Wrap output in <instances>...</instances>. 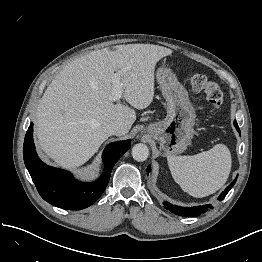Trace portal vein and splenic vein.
<instances>
[{"label":"portal vein and splenic vein","instance_id":"1","mask_svg":"<svg viewBox=\"0 0 262 262\" xmlns=\"http://www.w3.org/2000/svg\"><path fill=\"white\" fill-rule=\"evenodd\" d=\"M124 71L120 70L118 72H116L114 74V78H113V91H112V95H111V99L113 101H117L121 98L122 96V86L120 83V77L123 75Z\"/></svg>","mask_w":262,"mask_h":262}]
</instances>
